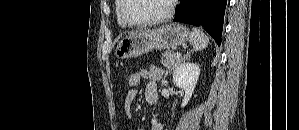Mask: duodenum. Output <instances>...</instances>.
Masks as SVG:
<instances>
[{"label":"duodenum","instance_id":"1","mask_svg":"<svg viewBox=\"0 0 299 130\" xmlns=\"http://www.w3.org/2000/svg\"><path fill=\"white\" fill-rule=\"evenodd\" d=\"M156 98H157V95H150L147 97V101L149 103H153L156 100Z\"/></svg>","mask_w":299,"mask_h":130}]
</instances>
